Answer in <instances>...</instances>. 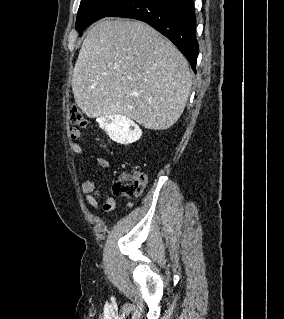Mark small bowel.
I'll use <instances>...</instances> for the list:
<instances>
[{"mask_svg": "<svg viewBox=\"0 0 284 319\" xmlns=\"http://www.w3.org/2000/svg\"><path fill=\"white\" fill-rule=\"evenodd\" d=\"M70 137H71V143L70 148L71 150L78 156H83V149L81 145L78 143V141L81 139V133L77 128H71L70 129ZM98 164L104 168H108L110 166L109 161L105 158H98ZM82 192L85 195V199L87 203L92 208H98L99 203L102 202V208L104 212L109 213L113 211L115 208V200L113 197L110 196H104L102 195L97 187L95 182L92 179H87L82 182L81 184Z\"/></svg>", "mask_w": 284, "mask_h": 319, "instance_id": "obj_1", "label": "small bowel"}]
</instances>
